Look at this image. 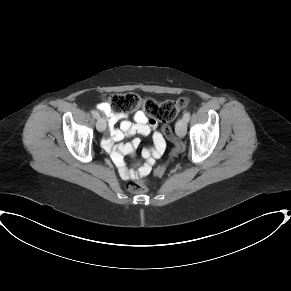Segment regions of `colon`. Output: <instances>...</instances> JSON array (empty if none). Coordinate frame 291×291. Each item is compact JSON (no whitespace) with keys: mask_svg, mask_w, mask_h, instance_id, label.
I'll list each match as a JSON object with an SVG mask.
<instances>
[{"mask_svg":"<svg viewBox=\"0 0 291 291\" xmlns=\"http://www.w3.org/2000/svg\"><path fill=\"white\" fill-rule=\"evenodd\" d=\"M108 103L111 108L119 111H127L140 108L146 114L161 121L163 125V134L170 140L176 139L172 128L167 124L178 112L185 108L189 101L187 98H179L178 100H166L157 102L153 98L141 99L133 92L117 93L108 97ZM167 171L166 165H159L155 168L156 175H163ZM127 190L131 193L139 194L148 190L146 179L133 180L128 182Z\"/></svg>","mask_w":291,"mask_h":291,"instance_id":"5ec220e1","label":"colon"}]
</instances>
